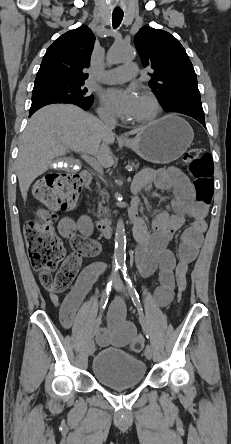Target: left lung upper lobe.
<instances>
[{
  "instance_id": "1",
  "label": "left lung upper lobe",
  "mask_w": 231,
  "mask_h": 444,
  "mask_svg": "<svg viewBox=\"0 0 231 444\" xmlns=\"http://www.w3.org/2000/svg\"><path fill=\"white\" fill-rule=\"evenodd\" d=\"M134 44L144 67L153 71L149 86L157 93L167 111L204 116L197 77L180 42L170 33L142 27Z\"/></svg>"
}]
</instances>
